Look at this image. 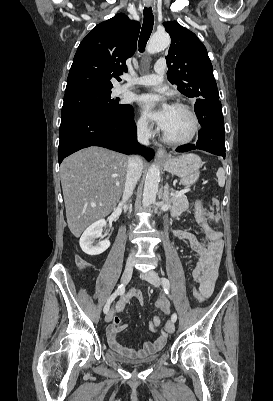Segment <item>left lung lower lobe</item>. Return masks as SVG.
<instances>
[{
  "label": "left lung lower lobe",
  "instance_id": "obj_1",
  "mask_svg": "<svg viewBox=\"0 0 273 401\" xmlns=\"http://www.w3.org/2000/svg\"><path fill=\"white\" fill-rule=\"evenodd\" d=\"M195 113L201 124L196 144L181 146L177 152L200 149L225 157V129L222 105L219 100L197 99Z\"/></svg>",
  "mask_w": 273,
  "mask_h": 401
}]
</instances>
